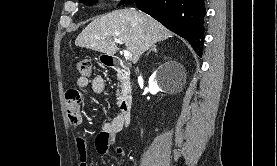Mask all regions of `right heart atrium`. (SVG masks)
Listing matches in <instances>:
<instances>
[{
	"label": "right heart atrium",
	"instance_id": "right-heart-atrium-1",
	"mask_svg": "<svg viewBox=\"0 0 277 166\" xmlns=\"http://www.w3.org/2000/svg\"><path fill=\"white\" fill-rule=\"evenodd\" d=\"M113 1H116V2H118V1H120V0H113Z\"/></svg>",
	"mask_w": 277,
	"mask_h": 166
}]
</instances>
